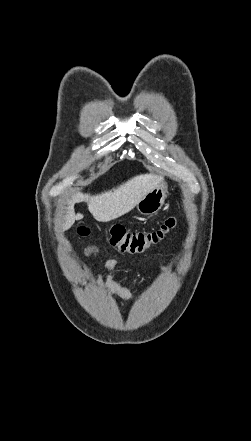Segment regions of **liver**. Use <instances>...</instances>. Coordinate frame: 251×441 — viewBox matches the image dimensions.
Instances as JSON below:
<instances>
[{
  "label": "liver",
  "mask_w": 251,
  "mask_h": 441,
  "mask_svg": "<svg viewBox=\"0 0 251 441\" xmlns=\"http://www.w3.org/2000/svg\"><path fill=\"white\" fill-rule=\"evenodd\" d=\"M161 180L160 176L154 174H141L117 188L98 195L77 193L68 203L63 231L68 230L75 220L83 217L81 214H75V202L86 201L89 211L97 221L109 222L130 212L147 193L160 184Z\"/></svg>",
  "instance_id": "1"
}]
</instances>
